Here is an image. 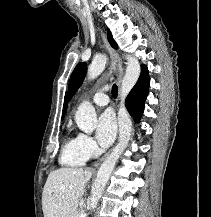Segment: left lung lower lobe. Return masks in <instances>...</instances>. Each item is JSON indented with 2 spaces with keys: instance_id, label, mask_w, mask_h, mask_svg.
Segmentation results:
<instances>
[{
  "instance_id": "left-lung-lower-lobe-1",
  "label": "left lung lower lobe",
  "mask_w": 211,
  "mask_h": 217,
  "mask_svg": "<svg viewBox=\"0 0 211 217\" xmlns=\"http://www.w3.org/2000/svg\"><path fill=\"white\" fill-rule=\"evenodd\" d=\"M150 78L145 65L141 66V74L135 86L126 98V107L130 115L137 121L140 120L144 104L149 92Z\"/></svg>"
}]
</instances>
